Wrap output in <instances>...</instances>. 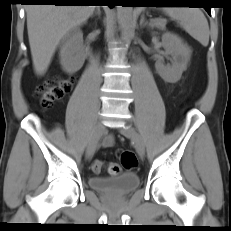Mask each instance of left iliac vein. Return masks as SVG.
I'll use <instances>...</instances> for the list:
<instances>
[{
  "instance_id": "obj_1",
  "label": "left iliac vein",
  "mask_w": 231,
  "mask_h": 231,
  "mask_svg": "<svg viewBox=\"0 0 231 231\" xmlns=\"http://www.w3.org/2000/svg\"><path fill=\"white\" fill-rule=\"evenodd\" d=\"M120 132L134 142L137 153L143 158L145 156V145L137 131L131 126H124L120 128Z\"/></svg>"
}]
</instances>
